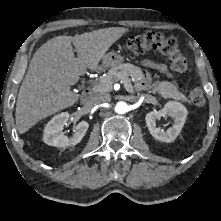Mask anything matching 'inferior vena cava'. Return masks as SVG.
Instances as JSON below:
<instances>
[{
	"mask_svg": "<svg viewBox=\"0 0 221 221\" xmlns=\"http://www.w3.org/2000/svg\"><path fill=\"white\" fill-rule=\"evenodd\" d=\"M111 101V97L107 93L96 94L91 98V103L93 105H99L103 103H108Z\"/></svg>",
	"mask_w": 221,
	"mask_h": 221,
	"instance_id": "obj_1",
	"label": "inferior vena cava"
}]
</instances>
